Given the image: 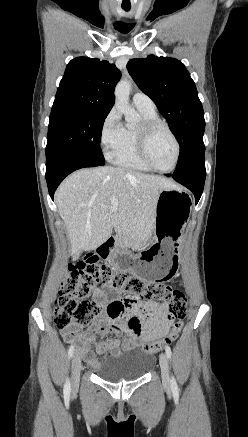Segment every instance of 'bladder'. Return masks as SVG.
Here are the masks:
<instances>
[{"label":"bladder","mask_w":248,"mask_h":437,"mask_svg":"<svg viewBox=\"0 0 248 437\" xmlns=\"http://www.w3.org/2000/svg\"><path fill=\"white\" fill-rule=\"evenodd\" d=\"M154 362L155 357L151 353L128 350L108 359L97 370V375L112 383L133 381L145 376Z\"/></svg>","instance_id":"obj_1"}]
</instances>
